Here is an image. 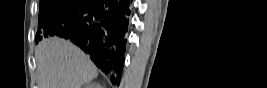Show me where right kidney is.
<instances>
[{
  "label": "right kidney",
  "mask_w": 267,
  "mask_h": 88,
  "mask_svg": "<svg viewBox=\"0 0 267 88\" xmlns=\"http://www.w3.org/2000/svg\"><path fill=\"white\" fill-rule=\"evenodd\" d=\"M84 88H102V86L100 85V83L91 82V83H87V85L84 86Z\"/></svg>",
  "instance_id": "ca27d5eb"
}]
</instances>
